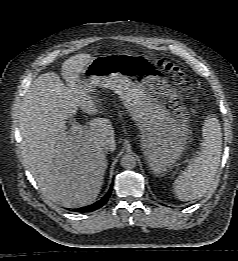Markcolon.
I'll return each mask as SVG.
<instances>
[{"instance_id": "colon-1", "label": "colon", "mask_w": 238, "mask_h": 261, "mask_svg": "<svg viewBox=\"0 0 238 261\" xmlns=\"http://www.w3.org/2000/svg\"><path fill=\"white\" fill-rule=\"evenodd\" d=\"M157 66L163 69L167 74L171 76L174 83L183 91L189 94L191 98H194V92L190 81L187 79L185 73L175 64L165 61L157 60Z\"/></svg>"}]
</instances>
